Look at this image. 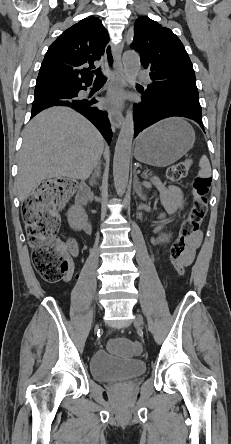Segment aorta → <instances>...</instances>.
I'll use <instances>...</instances> for the list:
<instances>
[{"label":"aorta","instance_id":"762f6f07","mask_svg":"<svg viewBox=\"0 0 231 444\" xmlns=\"http://www.w3.org/2000/svg\"><path fill=\"white\" fill-rule=\"evenodd\" d=\"M125 76L128 84L133 86L140 69V57L135 52H125L122 57ZM134 136V119L132 110L126 112L114 153L113 176L117 194L125 193L128 178L132 140Z\"/></svg>","mask_w":231,"mask_h":444}]
</instances>
